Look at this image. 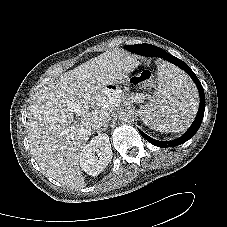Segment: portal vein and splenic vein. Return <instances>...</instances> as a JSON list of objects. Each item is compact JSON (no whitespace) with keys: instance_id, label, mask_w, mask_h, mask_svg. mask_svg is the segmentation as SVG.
Segmentation results:
<instances>
[{"instance_id":"18ae733b","label":"portal vein and splenic vein","mask_w":227,"mask_h":227,"mask_svg":"<svg viewBox=\"0 0 227 227\" xmlns=\"http://www.w3.org/2000/svg\"><path fill=\"white\" fill-rule=\"evenodd\" d=\"M73 109H74V111H75L76 113H78V114H82V115L85 114V111H84L83 109H81L78 105H74V106H73Z\"/></svg>"}]
</instances>
